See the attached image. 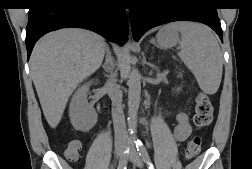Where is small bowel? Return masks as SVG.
<instances>
[{"label":"small bowel","instance_id":"1","mask_svg":"<svg viewBox=\"0 0 252 169\" xmlns=\"http://www.w3.org/2000/svg\"><path fill=\"white\" fill-rule=\"evenodd\" d=\"M177 124L174 128V137L177 141H185L191 135V127L189 124L188 116L185 113H178L176 116ZM73 145L77 146V151L81 150V142L79 140H72L68 148L72 147Z\"/></svg>","mask_w":252,"mask_h":169}]
</instances>
